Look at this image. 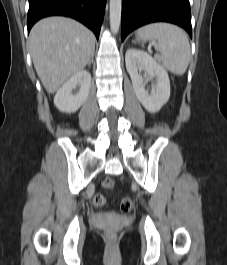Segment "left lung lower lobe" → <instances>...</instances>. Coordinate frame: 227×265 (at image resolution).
Returning <instances> with one entry per match:
<instances>
[{
  "label": "left lung lower lobe",
  "mask_w": 227,
  "mask_h": 265,
  "mask_svg": "<svg viewBox=\"0 0 227 265\" xmlns=\"http://www.w3.org/2000/svg\"><path fill=\"white\" fill-rule=\"evenodd\" d=\"M159 21L179 25L192 37L189 0H122V41L136 28Z\"/></svg>",
  "instance_id": "1"
}]
</instances>
